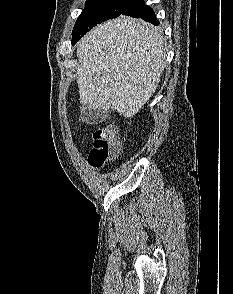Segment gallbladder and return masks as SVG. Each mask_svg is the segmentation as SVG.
<instances>
[{"label": "gallbladder", "mask_w": 233, "mask_h": 294, "mask_svg": "<svg viewBox=\"0 0 233 294\" xmlns=\"http://www.w3.org/2000/svg\"><path fill=\"white\" fill-rule=\"evenodd\" d=\"M94 112L87 105H83L81 107V116L84 120L87 121H95L96 119L93 117Z\"/></svg>", "instance_id": "obj_1"}]
</instances>
